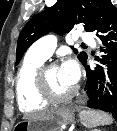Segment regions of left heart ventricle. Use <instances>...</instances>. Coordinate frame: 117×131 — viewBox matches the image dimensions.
<instances>
[{
  "instance_id": "obj_1",
  "label": "left heart ventricle",
  "mask_w": 117,
  "mask_h": 131,
  "mask_svg": "<svg viewBox=\"0 0 117 131\" xmlns=\"http://www.w3.org/2000/svg\"><path fill=\"white\" fill-rule=\"evenodd\" d=\"M45 76L50 89L56 95H65L75 87L64 79L60 67L47 70Z\"/></svg>"
}]
</instances>
